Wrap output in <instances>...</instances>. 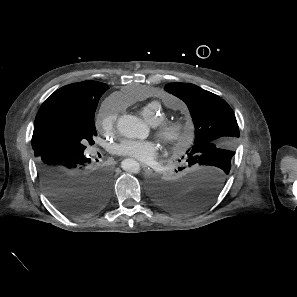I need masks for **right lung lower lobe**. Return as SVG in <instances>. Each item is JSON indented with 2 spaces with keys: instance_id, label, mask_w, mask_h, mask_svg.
Here are the masks:
<instances>
[{
  "instance_id": "right-lung-lower-lobe-1",
  "label": "right lung lower lobe",
  "mask_w": 297,
  "mask_h": 297,
  "mask_svg": "<svg viewBox=\"0 0 297 297\" xmlns=\"http://www.w3.org/2000/svg\"><path fill=\"white\" fill-rule=\"evenodd\" d=\"M83 153L47 149L36 156L41 185L55 206L71 216L95 213L110 195V176Z\"/></svg>"
}]
</instances>
